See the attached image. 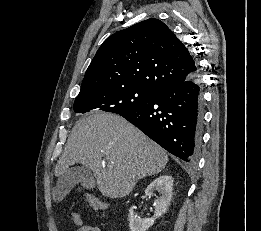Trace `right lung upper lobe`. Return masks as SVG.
<instances>
[{
	"instance_id": "right-lung-upper-lobe-1",
	"label": "right lung upper lobe",
	"mask_w": 261,
	"mask_h": 231,
	"mask_svg": "<svg viewBox=\"0 0 261 231\" xmlns=\"http://www.w3.org/2000/svg\"><path fill=\"white\" fill-rule=\"evenodd\" d=\"M197 71L185 45L162 21L150 18L104 41L85 73L79 95L127 86L157 93Z\"/></svg>"
}]
</instances>
